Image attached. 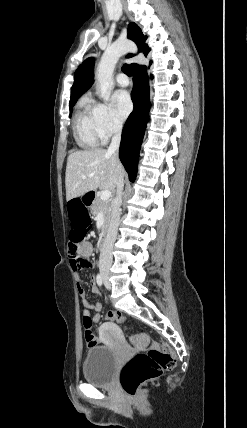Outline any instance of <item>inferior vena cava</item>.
<instances>
[{"instance_id":"1","label":"inferior vena cava","mask_w":247,"mask_h":428,"mask_svg":"<svg viewBox=\"0 0 247 428\" xmlns=\"http://www.w3.org/2000/svg\"><path fill=\"white\" fill-rule=\"evenodd\" d=\"M122 124L117 122L113 126V137L107 153L118 158V150L121 141ZM116 197L112 204V214L110 226L101 248L99 267L110 268L112 264V249L118 233L120 222V206L122 204V191L124 187L123 177L120 176L117 182Z\"/></svg>"}]
</instances>
